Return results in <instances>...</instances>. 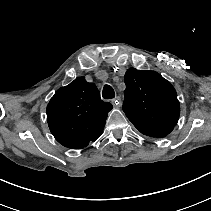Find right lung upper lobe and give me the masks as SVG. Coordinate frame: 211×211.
I'll list each match as a JSON object with an SVG mask.
<instances>
[{"label": "right lung upper lobe", "instance_id": "1", "mask_svg": "<svg viewBox=\"0 0 211 211\" xmlns=\"http://www.w3.org/2000/svg\"><path fill=\"white\" fill-rule=\"evenodd\" d=\"M111 109L95 84L78 77L56 91L46 113L55 139L67 148L80 149L99 138Z\"/></svg>", "mask_w": 211, "mask_h": 211}]
</instances>
